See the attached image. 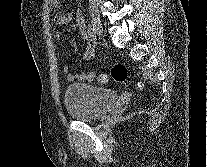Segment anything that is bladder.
<instances>
[{
  "mask_svg": "<svg viewBox=\"0 0 207 167\" xmlns=\"http://www.w3.org/2000/svg\"><path fill=\"white\" fill-rule=\"evenodd\" d=\"M116 99L115 91L87 83H71L67 85L63 95L69 115L81 121L101 116Z\"/></svg>",
  "mask_w": 207,
  "mask_h": 167,
  "instance_id": "bladder-1",
  "label": "bladder"
}]
</instances>
